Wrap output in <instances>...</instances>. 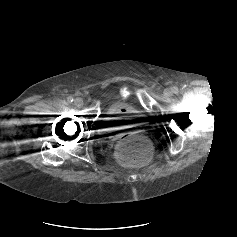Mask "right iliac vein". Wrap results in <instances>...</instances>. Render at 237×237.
<instances>
[{
  "label": "right iliac vein",
  "instance_id": "1",
  "mask_svg": "<svg viewBox=\"0 0 237 237\" xmlns=\"http://www.w3.org/2000/svg\"><path fill=\"white\" fill-rule=\"evenodd\" d=\"M74 105H75L76 107H82V106H83V100H82V98H76V99L74 100Z\"/></svg>",
  "mask_w": 237,
  "mask_h": 237
}]
</instances>
